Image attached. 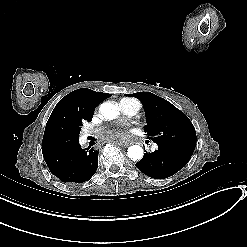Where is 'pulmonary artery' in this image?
Here are the masks:
<instances>
[{"mask_svg":"<svg viewBox=\"0 0 247 247\" xmlns=\"http://www.w3.org/2000/svg\"><path fill=\"white\" fill-rule=\"evenodd\" d=\"M134 109H135V106L134 105H129V106L124 107L123 108V111H125V112H131ZM107 127H110V124H107ZM97 131H101V128H97ZM150 150L152 152H157L159 150V145L157 143H152L150 145Z\"/></svg>","mask_w":247,"mask_h":247,"instance_id":"pulmonary-artery-1","label":"pulmonary artery"}]
</instances>
